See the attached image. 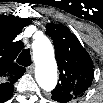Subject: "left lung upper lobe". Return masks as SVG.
<instances>
[{
  "mask_svg": "<svg viewBox=\"0 0 103 103\" xmlns=\"http://www.w3.org/2000/svg\"><path fill=\"white\" fill-rule=\"evenodd\" d=\"M46 32L53 40L60 72V82L51 92L52 99L66 103L82 96L90 87L94 76L93 62L68 27L49 23Z\"/></svg>",
  "mask_w": 103,
  "mask_h": 103,
  "instance_id": "5c2ea615",
  "label": "left lung upper lobe"
}]
</instances>
